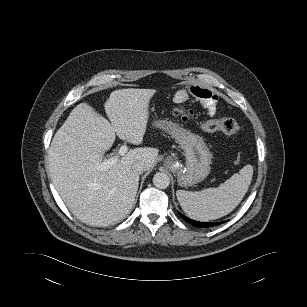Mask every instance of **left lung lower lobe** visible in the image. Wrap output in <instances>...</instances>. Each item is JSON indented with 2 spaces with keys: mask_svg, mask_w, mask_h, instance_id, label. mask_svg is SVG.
Here are the masks:
<instances>
[{
  "mask_svg": "<svg viewBox=\"0 0 307 307\" xmlns=\"http://www.w3.org/2000/svg\"><path fill=\"white\" fill-rule=\"evenodd\" d=\"M180 216L187 222L191 223L193 226L195 227H199V228H208V227H212L215 225H218L219 223H206V222H199V221H195L192 220L184 215H182L181 213H179Z\"/></svg>",
  "mask_w": 307,
  "mask_h": 307,
  "instance_id": "obj_1",
  "label": "left lung lower lobe"
}]
</instances>
